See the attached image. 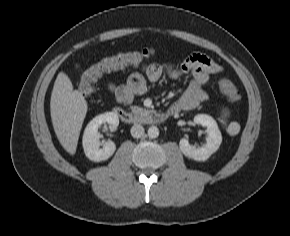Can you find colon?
I'll return each instance as SVG.
<instances>
[{
	"label": "colon",
	"instance_id": "obj_1",
	"mask_svg": "<svg viewBox=\"0 0 290 236\" xmlns=\"http://www.w3.org/2000/svg\"><path fill=\"white\" fill-rule=\"evenodd\" d=\"M154 54L152 49L141 51H130L117 53L112 56L101 59L96 64L85 70L79 82V90L84 95H90L94 91V83L103 73L119 69L125 66L135 65L151 57ZM220 86L226 98L230 102H236L240 99V92L236 86L228 79L220 81Z\"/></svg>",
	"mask_w": 290,
	"mask_h": 236
}]
</instances>
